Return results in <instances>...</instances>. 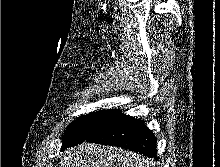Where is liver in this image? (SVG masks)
Instances as JSON below:
<instances>
[{
    "mask_svg": "<svg viewBox=\"0 0 220 167\" xmlns=\"http://www.w3.org/2000/svg\"><path fill=\"white\" fill-rule=\"evenodd\" d=\"M60 164V167H149L139 154L87 142L68 149Z\"/></svg>",
    "mask_w": 220,
    "mask_h": 167,
    "instance_id": "liver-1",
    "label": "liver"
}]
</instances>
